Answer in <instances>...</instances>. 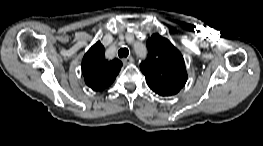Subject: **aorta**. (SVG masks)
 <instances>
[{
  "label": "aorta",
  "mask_w": 263,
  "mask_h": 146,
  "mask_svg": "<svg viewBox=\"0 0 263 146\" xmlns=\"http://www.w3.org/2000/svg\"><path fill=\"white\" fill-rule=\"evenodd\" d=\"M134 50L139 58L144 59L147 57L148 50L146 46L141 42H135L134 44Z\"/></svg>",
  "instance_id": "1"
}]
</instances>
